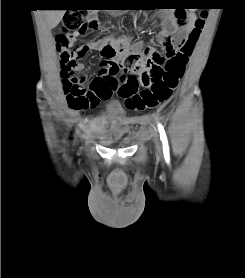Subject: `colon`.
Instances as JSON below:
<instances>
[{
  "label": "colon",
  "instance_id": "colon-1",
  "mask_svg": "<svg viewBox=\"0 0 245 278\" xmlns=\"http://www.w3.org/2000/svg\"><path fill=\"white\" fill-rule=\"evenodd\" d=\"M199 7L193 6L191 9ZM85 11L68 12L62 23V34L58 37L57 48L62 61V78L65 82L66 104L72 111H84L97 106L98 94L95 83L88 84L83 75H75L70 67L76 59L87 50V45L77 40H69L68 35L78 31H95L99 22L96 18H86ZM206 11L194 21V30L188 38L179 44V51L169 57L158 54L154 64L147 63L140 79L147 85L138 89V77L129 75L118 84L112 75L108 78L112 92L125 100V106L132 111L153 109L158 105L166 104L172 97L180 80L183 78L186 65L192 53V48L203 28Z\"/></svg>",
  "mask_w": 245,
  "mask_h": 278
}]
</instances>
